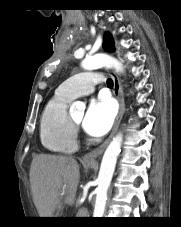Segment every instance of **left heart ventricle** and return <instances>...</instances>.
Segmentation results:
<instances>
[{"label": "left heart ventricle", "mask_w": 181, "mask_h": 227, "mask_svg": "<svg viewBox=\"0 0 181 227\" xmlns=\"http://www.w3.org/2000/svg\"><path fill=\"white\" fill-rule=\"evenodd\" d=\"M72 118L77 122V123H81L82 119H83V112H79L76 113L74 115H72Z\"/></svg>", "instance_id": "b2bd125f"}]
</instances>
